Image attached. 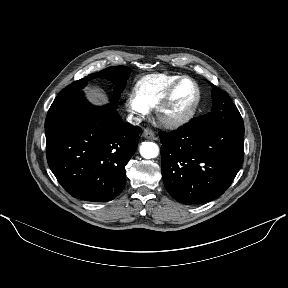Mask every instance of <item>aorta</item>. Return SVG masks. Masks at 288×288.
I'll return each mask as SVG.
<instances>
[{"label": "aorta", "mask_w": 288, "mask_h": 288, "mask_svg": "<svg viewBox=\"0 0 288 288\" xmlns=\"http://www.w3.org/2000/svg\"><path fill=\"white\" fill-rule=\"evenodd\" d=\"M159 148L153 142H143L140 146V154L145 159H152L158 156Z\"/></svg>", "instance_id": "1"}]
</instances>
